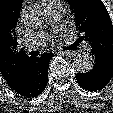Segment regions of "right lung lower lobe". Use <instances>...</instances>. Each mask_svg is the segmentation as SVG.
<instances>
[{
	"instance_id": "1",
	"label": "right lung lower lobe",
	"mask_w": 113,
	"mask_h": 113,
	"mask_svg": "<svg viewBox=\"0 0 113 113\" xmlns=\"http://www.w3.org/2000/svg\"><path fill=\"white\" fill-rule=\"evenodd\" d=\"M53 53H44L41 57H30L21 75L8 85L12 90L27 98L41 94L48 81L49 60Z\"/></svg>"
}]
</instances>
